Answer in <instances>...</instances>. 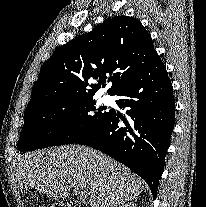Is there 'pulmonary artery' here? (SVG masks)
Masks as SVG:
<instances>
[{"label": "pulmonary artery", "mask_w": 206, "mask_h": 207, "mask_svg": "<svg viewBox=\"0 0 206 207\" xmlns=\"http://www.w3.org/2000/svg\"><path fill=\"white\" fill-rule=\"evenodd\" d=\"M109 100H110V97H109L108 95H104V96L102 97V101H103L104 103H107Z\"/></svg>", "instance_id": "pulmonary-artery-1"}]
</instances>
